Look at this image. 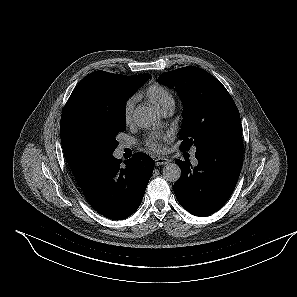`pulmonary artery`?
I'll return each mask as SVG.
<instances>
[{
    "mask_svg": "<svg viewBox=\"0 0 297 297\" xmlns=\"http://www.w3.org/2000/svg\"><path fill=\"white\" fill-rule=\"evenodd\" d=\"M174 110V104L168 105L166 108H164L161 113L163 116L168 117L170 115H172Z\"/></svg>",
    "mask_w": 297,
    "mask_h": 297,
    "instance_id": "pulmonary-artery-1",
    "label": "pulmonary artery"
}]
</instances>
